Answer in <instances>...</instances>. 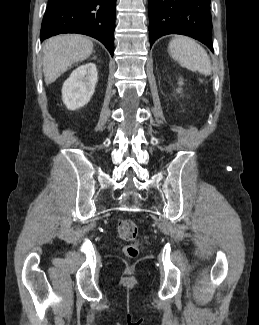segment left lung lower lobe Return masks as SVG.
<instances>
[{"instance_id":"obj_1","label":"left lung lower lobe","mask_w":259,"mask_h":325,"mask_svg":"<svg viewBox=\"0 0 259 325\" xmlns=\"http://www.w3.org/2000/svg\"><path fill=\"white\" fill-rule=\"evenodd\" d=\"M211 0H148L150 46L167 34H182L213 50Z\"/></svg>"}]
</instances>
